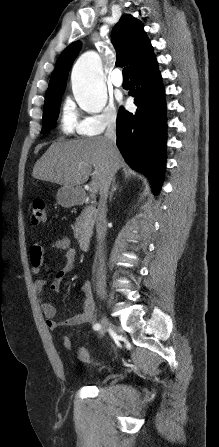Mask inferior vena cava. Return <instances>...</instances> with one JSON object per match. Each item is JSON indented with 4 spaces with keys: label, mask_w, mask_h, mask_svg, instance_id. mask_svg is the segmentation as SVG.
I'll return each instance as SVG.
<instances>
[{
    "label": "inferior vena cava",
    "mask_w": 219,
    "mask_h": 447,
    "mask_svg": "<svg viewBox=\"0 0 219 447\" xmlns=\"http://www.w3.org/2000/svg\"><path fill=\"white\" fill-rule=\"evenodd\" d=\"M105 140L107 141L108 152L111 156H113L115 148H116V124L115 122H111L107 126V130L104 135ZM116 172L115 165L111 164V168L108 171L105 179L102 182L100 188V200H99V214L96 220V232H97V254L96 258H98L97 268H96V284L98 293H104V287L106 284V265H105V252H104V242L107 234V220H106V203L108 192L110 188V184L113 181L114 175Z\"/></svg>",
    "instance_id": "602c4592"
}]
</instances>
